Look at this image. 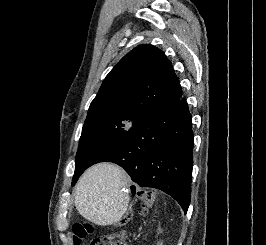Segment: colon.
I'll use <instances>...</instances> for the list:
<instances>
[{
	"mask_svg": "<svg viewBox=\"0 0 266 245\" xmlns=\"http://www.w3.org/2000/svg\"><path fill=\"white\" fill-rule=\"evenodd\" d=\"M152 199L149 195H136L133 200V205L142 209L150 206ZM92 233V227L86 224H75L73 226L72 241L73 245H80L88 235ZM90 245H128L124 239L114 234H103L93 237L90 241Z\"/></svg>",
	"mask_w": 266,
	"mask_h": 245,
	"instance_id": "1",
	"label": "colon"
}]
</instances>
